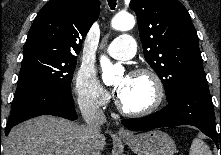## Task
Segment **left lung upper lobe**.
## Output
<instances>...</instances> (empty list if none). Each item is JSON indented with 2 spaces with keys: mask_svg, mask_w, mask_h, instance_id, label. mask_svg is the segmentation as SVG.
<instances>
[{
  "mask_svg": "<svg viewBox=\"0 0 221 155\" xmlns=\"http://www.w3.org/2000/svg\"><path fill=\"white\" fill-rule=\"evenodd\" d=\"M146 61L160 77L171 101L184 87L207 82L198 36L178 0H131Z\"/></svg>",
  "mask_w": 221,
  "mask_h": 155,
  "instance_id": "left-lung-upper-lobe-1",
  "label": "left lung upper lobe"
}]
</instances>
